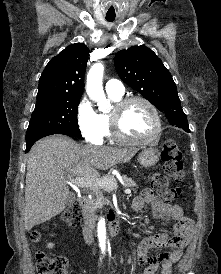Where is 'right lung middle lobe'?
I'll use <instances>...</instances> for the list:
<instances>
[{"label": "right lung middle lobe", "mask_w": 221, "mask_h": 274, "mask_svg": "<svg viewBox=\"0 0 221 274\" xmlns=\"http://www.w3.org/2000/svg\"><path fill=\"white\" fill-rule=\"evenodd\" d=\"M80 98L81 96L37 99L27 129L26 142L51 133H65L81 137L77 122Z\"/></svg>", "instance_id": "obj_1"}]
</instances>
